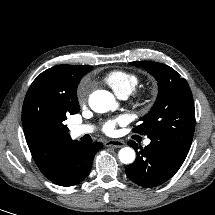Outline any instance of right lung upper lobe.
<instances>
[{"label": "right lung upper lobe", "instance_id": "right-lung-upper-lobe-1", "mask_svg": "<svg viewBox=\"0 0 215 215\" xmlns=\"http://www.w3.org/2000/svg\"><path fill=\"white\" fill-rule=\"evenodd\" d=\"M70 73L75 77H83L89 72L90 66L68 65ZM42 74L37 77L38 81ZM22 124L25 138L34 161L41 172L53 179L58 175L59 164L66 148L73 143L68 130L60 132H48L33 124L22 109Z\"/></svg>", "mask_w": 215, "mask_h": 215}]
</instances>
